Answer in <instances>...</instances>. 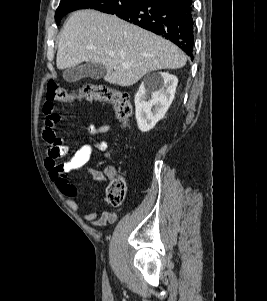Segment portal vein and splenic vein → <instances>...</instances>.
Instances as JSON below:
<instances>
[{"instance_id":"obj_1","label":"portal vein and splenic vein","mask_w":267,"mask_h":301,"mask_svg":"<svg viewBox=\"0 0 267 301\" xmlns=\"http://www.w3.org/2000/svg\"><path fill=\"white\" fill-rule=\"evenodd\" d=\"M110 56H112V57H113V56H114V53H110ZM123 66H124V67H126V68H127V67H129V66H128V65H126V64H123Z\"/></svg>"}]
</instances>
